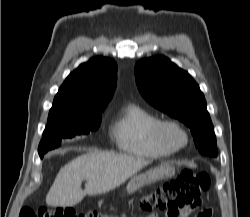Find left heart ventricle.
<instances>
[{
  "mask_svg": "<svg viewBox=\"0 0 250 217\" xmlns=\"http://www.w3.org/2000/svg\"><path fill=\"white\" fill-rule=\"evenodd\" d=\"M172 138H173V140L176 141V142L180 141V136L177 135V134H173Z\"/></svg>",
  "mask_w": 250,
  "mask_h": 217,
  "instance_id": "left-heart-ventricle-1",
  "label": "left heart ventricle"
}]
</instances>
